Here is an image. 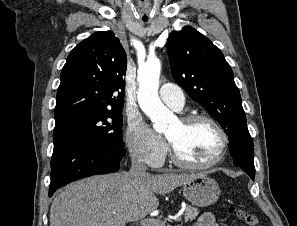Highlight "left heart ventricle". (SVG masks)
Here are the masks:
<instances>
[{
	"mask_svg": "<svg viewBox=\"0 0 297 226\" xmlns=\"http://www.w3.org/2000/svg\"><path fill=\"white\" fill-rule=\"evenodd\" d=\"M165 135L185 160L197 164L214 159L221 145L218 131L204 121L184 125L177 120L168 127Z\"/></svg>",
	"mask_w": 297,
	"mask_h": 226,
	"instance_id": "1",
	"label": "left heart ventricle"
}]
</instances>
